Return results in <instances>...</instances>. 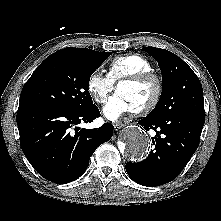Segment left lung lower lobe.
I'll use <instances>...</instances> for the list:
<instances>
[{"instance_id": "1", "label": "left lung lower lobe", "mask_w": 221, "mask_h": 221, "mask_svg": "<svg viewBox=\"0 0 221 221\" xmlns=\"http://www.w3.org/2000/svg\"><path fill=\"white\" fill-rule=\"evenodd\" d=\"M205 117L179 112L158 118L145 117L138 123L152 129L155 145L149 156L137 163H127L128 175L138 184L159 186L175 179L196 151Z\"/></svg>"}]
</instances>
